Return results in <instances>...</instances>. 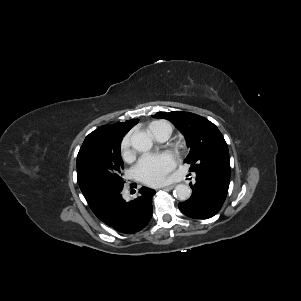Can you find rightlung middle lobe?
<instances>
[{
	"mask_svg": "<svg viewBox=\"0 0 301 301\" xmlns=\"http://www.w3.org/2000/svg\"><path fill=\"white\" fill-rule=\"evenodd\" d=\"M121 141L101 136L85 138L77 156L79 187L95 213L113 192L123 189Z\"/></svg>",
	"mask_w": 301,
	"mask_h": 301,
	"instance_id": "dd1d6c3e",
	"label": "right lung middle lobe"
}]
</instances>
